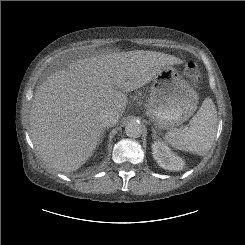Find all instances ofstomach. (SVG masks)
Instances as JSON below:
<instances>
[{
  "mask_svg": "<svg viewBox=\"0 0 245 245\" xmlns=\"http://www.w3.org/2000/svg\"><path fill=\"white\" fill-rule=\"evenodd\" d=\"M199 96L182 75L167 66L153 78L146 115L159 129H173L196 111Z\"/></svg>",
  "mask_w": 245,
  "mask_h": 245,
  "instance_id": "1",
  "label": "stomach"
}]
</instances>
